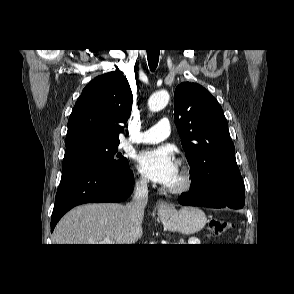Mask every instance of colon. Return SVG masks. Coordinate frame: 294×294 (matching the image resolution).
Returning a JSON list of instances; mask_svg holds the SVG:
<instances>
[{
  "label": "colon",
  "instance_id": "5ec220e1",
  "mask_svg": "<svg viewBox=\"0 0 294 294\" xmlns=\"http://www.w3.org/2000/svg\"><path fill=\"white\" fill-rule=\"evenodd\" d=\"M232 224L221 220V219H213L208 223V230L212 235H219L229 229Z\"/></svg>",
  "mask_w": 294,
  "mask_h": 294
}]
</instances>
